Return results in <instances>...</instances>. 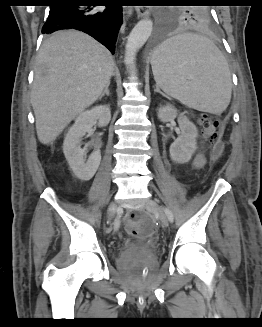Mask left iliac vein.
Returning a JSON list of instances; mask_svg holds the SVG:
<instances>
[{
  "instance_id": "obj_1",
  "label": "left iliac vein",
  "mask_w": 262,
  "mask_h": 327,
  "mask_svg": "<svg viewBox=\"0 0 262 327\" xmlns=\"http://www.w3.org/2000/svg\"><path fill=\"white\" fill-rule=\"evenodd\" d=\"M146 209L152 212L157 213L160 222L162 223L163 226L167 227L169 222L166 214L163 212L161 207L158 205V203L152 199H149L146 202Z\"/></svg>"
}]
</instances>
